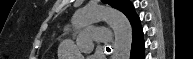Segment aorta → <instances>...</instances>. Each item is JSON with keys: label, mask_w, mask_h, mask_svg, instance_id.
Masks as SVG:
<instances>
[{"label": "aorta", "mask_w": 193, "mask_h": 59, "mask_svg": "<svg viewBox=\"0 0 193 59\" xmlns=\"http://www.w3.org/2000/svg\"><path fill=\"white\" fill-rule=\"evenodd\" d=\"M101 20H106L114 31L113 59H129L132 46V28L123 13L98 4H88L75 12L72 17V24L75 27H82ZM59 57L83 59L82 54L71 40H66L61 44Z\"/></svg>", "instance_id": "1"}]
</instances>
